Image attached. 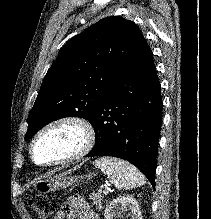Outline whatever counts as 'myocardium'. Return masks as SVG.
I'll return each mask as SVG.
<instances>
[{
  "label": "myocardium",
  "mask_w": 211,
  "mask_h": 219,
  "mask_svg": "<svg viewBox=\"0 0 211 219\" xmlns=\"http://www.w3.org/2000/svg\"><path fill=\"white\" fill-rule=\"evenodd\" d=\"M64 125H71L77 128L81 133V141L76 149L71 155L66 158L56 160L53 162L48 163H39L36 161L34 157V147L40 137L49 131L52 128ZM96 141V132L94 126L88 121L86 118L77 115H64L57 118H54L44 124L42 127L38 129V131L32 137L30 144H29V156L31 161L39 166L45 168H53L58 166H65L69 164H73L75 162L80 161L84 158L94 147Z\"/></svg>",
  "instance_id": "obj_1"
}]
</instances>
